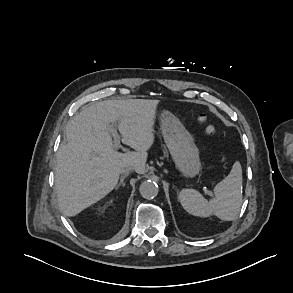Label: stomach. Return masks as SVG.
<instances>
[{
    "mask_svg": "<svg viewBox=\"0 0 293 293\" xmlns=\"http://www.w3.org/2000/svg\"><path fill=\"white\" fill-rule=\"evenodd\" d=\"M160 127L176 169L183 177L198 175L201 170L198 148L179 119L170 112H164Z\"/></svg>",
    "mask_w": 293,
    "mask_h": 293,
    "instance_id": "obj_1",
    "label": "stomach"
}]
</instances>
